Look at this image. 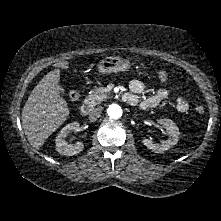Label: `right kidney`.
Here are the masks:
<instances>
[{"label":"right kidney","instance_id":"obj_1","mask_svg":"<svg viewBox=\"0 0 221 221\" xmlns=\"http://www.w3.org/2000/svg\"><path fill=\"white\" fill-rule=\"evenodd\" d=\"M78 122H73L67 124L65 127L62 128L58 136L56 137V150L58 153L66 155V156H73L84 149V144L82 142H77L75 144H69L65 138L69 132L74 131L77 132L80 130Z\"/></svg>","mask_w":221,"mask_h":221}]
</instances>
